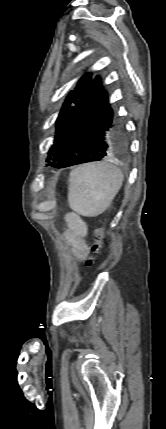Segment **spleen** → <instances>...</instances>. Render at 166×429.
I'll use <instances>...</instances> for the list:
<instances>
[{"label": "spleen", "instance_id": "obj_1", "mask_svg": "<svg viewBox=\"0 0 166 429\" xmlns=\"http://www.w3.org/2000/svg\"><path fill=\"white\" fill-rule=\"evenodd\" d=\"M123 179L121 169L109 163L78 166L69 176L70 208L82 216H98L110 206L122 186Z\"/></svg>", "mask_w": 166, "mask_h": 429}]
</instances>
